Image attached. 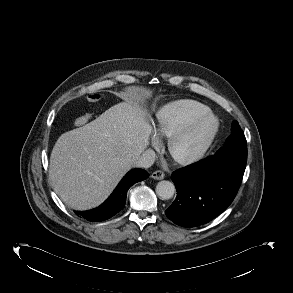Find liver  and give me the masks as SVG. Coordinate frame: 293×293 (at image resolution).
<instances>
[{"instance_id": "obj_1", "label": "liver", "mask_w": 293, "mask_h": 293, "mask_svg": "<svg viewBox=\"0 0 293 293\" xmlns=\"http://www.w3.org/2000/svg\"><path fill=\"white\" fill-rule=\"evenodd\" d=\"M152 127L137 102H121L90 123L63 133L49 166L54 191L69 207L99 206L149 144Z\"/></svg>"}]
</instances>
